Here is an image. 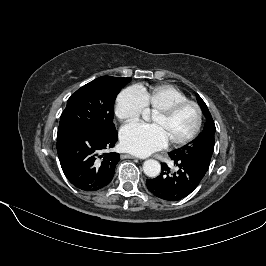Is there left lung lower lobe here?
Returning <instances> with one entry per match:
<instances>
[{
  "mask_svg": "<svg viewBox=\"0 0 266 266\" xmlns=\"http://www.w3.org/2000/svg\"><path fill=\"white\" fill-rule=\"evenodd\" d=\"M169 156L178 167L177 172L171 173L166 163H162L161 174L154 179H147L148 190L156 197L168 201H177L193 192L204 177L191 165L179 160L172 153Z\"/></svg>",
  "mask_w": 266,
  "mask_h": 266,
  "instance_id": "0a47b994",
  "label": "left lung lower lobe"
}]
</instances>
